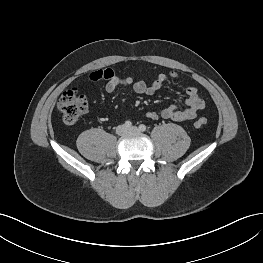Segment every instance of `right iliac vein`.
I'll list each match as a JSON object with an SVG mask.
<instances>
[{"instance_id": "63e3f726", "label": "right iliac vein", "mask_w": 263, "mask_h": 263, "mask_svg": "<svg viewBox=\"0 0 263 263\" xmlns=\"http://www.w3.org/2000/svg\"><path fill=\"white\" fill-rule=\"evenodd\" d=\"M117 134L124 135L127 132V128L125 125H120L116 129Z\"/></svg>"}]
</instances>
